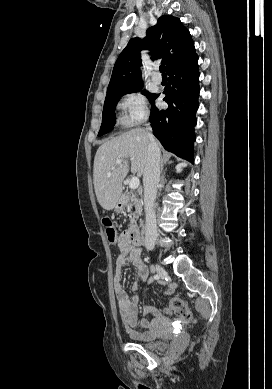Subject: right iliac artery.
I'll return each instance as SVG.
<instances>
[{
	"label": "right iliac artery",
	"mask_w": 272,
	"mask_h": 389,
	"mask_svg": "<svg viewBox=\"0 0 272 389\" xmlns=\"http://www.w3.org/2000/svg\"><path fill=\"white\" fill-rule=\"evenodd\" d=\"M159 276L156 274L150 278V281L158 280Z\"/></svg>",
	"instance_id": "1"
}]
</instances>
